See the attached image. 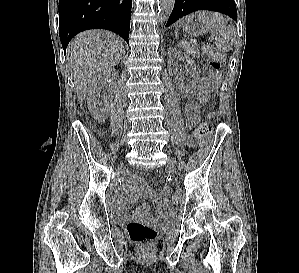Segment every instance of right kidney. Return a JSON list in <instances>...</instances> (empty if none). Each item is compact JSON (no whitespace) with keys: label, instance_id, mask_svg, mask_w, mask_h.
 Returning <instances> with one entry per match:
<instances>
[{"label":"right kidney","instance_id":"right-kidney-1","mask_svg":"<svg viewBox=\"0 0 299 273\" xmlns=\"http://www.w3.org/2000/svg\"><path fill=\"white\" fill-rule=\"evenodd\" d=\"M118 78L115 69H108L99 72L89 83L87 90L88 107L91 114L98 121L104 122L112 104V93L114 82ZM106 83H109L107 90L101 95V90Z\"/></svg>","mask_w":299,"mask_h":273}]
</instances>
